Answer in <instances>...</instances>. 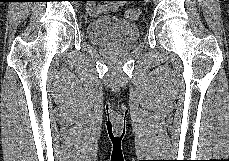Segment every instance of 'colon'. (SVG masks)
<instances>
[{
	"label": "colon",
	"mask_w": 229,
	"mask_h": 161,
	"mask_svg": "<svg viewBox=\"0 0 229 161\" xmlns=\"http://www.w3.org/2000/svg\"><path fill=\"white\" fill-rule=\"evenodd\" d=\"M89 1L91 3L89 6L92 8L94 1H97V0H89ZM111 1H117V0H111ZM139 16H140V10L137 8H129L125 12V17L128 20H136L139 18Z\"/></svg>",
	"instance_id": "colon-1"
}]
</instances>
